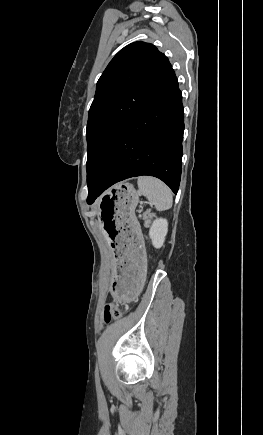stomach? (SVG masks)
Instances as JSON below:
<instances>
[{"mask_svg": "<svg viewBox=\"0 0 263 435\" xmlns=\"http://www.w3.org/2000/svg\"><path fill=\"white\" fill-rule=\"evenodd\" d=\"M139 194L132 184L121 182L100 199V233L112 247L114 279H111L116 305H131L148 280L145 274L144 233L137 216Z\"/></svg>", "mask_w": 263, "mask_h": 435, "instance_id": "1", "label": "stomach"}]
</instances>
